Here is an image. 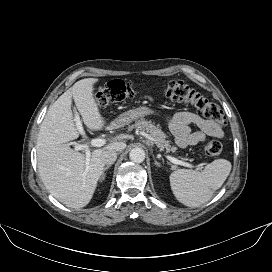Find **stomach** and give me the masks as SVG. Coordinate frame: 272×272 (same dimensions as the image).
Returning <instances> with one entry per match:
<instances>
[{"label": "stomach", "instance_id": "stomach-1", "mask_svg": "<svg viewBox=\"0 0 272 272\" xmlns=\"http://www.w3.org/2000/svg\"><path fill=\"white\" fill-rule=\"evenodd\" d=\"M155 111L147 106H140L138 108L126 111L119 115L113 122V127H122L130 122L154 114Z\"/></svg>", "mask_w": 272, "mask_h": 272}]
</instances>
